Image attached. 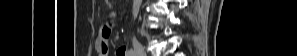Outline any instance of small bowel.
I'll return each instance as SVG.
<instances>
[{"mask_svg": "<svg viewBox=\"0 0 297 56\" xmlns=\"http://www.w3.org/2000/svg\"><path fill=\"white\" fill-rule=\"evenodd\" d=\"M114 16V13H112ZM111 32V25H105L101 28L99 37L96 42V50L99 56H107L109 53V45H108V38ZM126 50L124 48H119L117 50V56H125Z\"/></svg>", "mask_w": 297, "mask_h": 56, "instance_id": "obj_1", "label": "small bowel"}]
</instances>
